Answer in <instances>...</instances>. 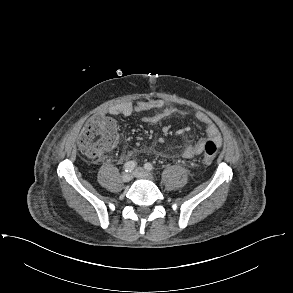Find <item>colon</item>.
I'll return each instance as SVG.
<instances>
[{"label":"colon","instance_id":"obj_1","mask_svg":"<svg viewBox=\"0 0 293 293\" xmlns=\"http://www.w3.org/2000/svg\"><path fill=\"white\" fill-rule=\"evenodd\" d=\"M118 138L115 121L106 115H94L90 117L78 139V148L81 153L90 159L96 160L101 153L112 147ZM218 152V145L214 141H208L202 161L211 163Z\"/></svg>","mask_w":293,"mask_h":293}]
</instances>
